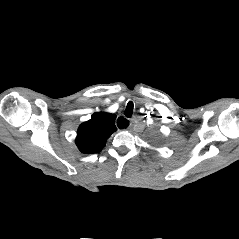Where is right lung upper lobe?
I'll use <instances>...</instances> for the list:
<instances>
[{
	"label": "right lung upper lobe",
	"mask_w": 239,
	"mask_h": 239,
	"mask_svg": "<svg viewBox=\"0 0 239 239\" xmlns=\"http://www.w3.org/2000/svg\"><path fill=\"white\" fill-rule=\"evenodd\" d=\"M115 119V114L99 112L82 123L75 140L79 150L85 154L99 153L105 146L106 140L117 130Z\"/></svg>",
	"instance_id": "obj_1"
}]
</instances>
